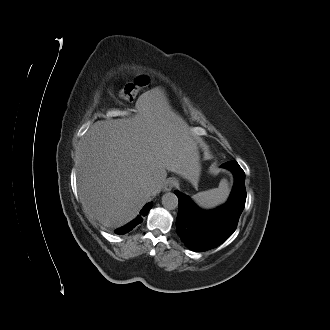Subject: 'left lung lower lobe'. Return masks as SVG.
I'll use <instances>...</instances> for the list:
<instances>
[{
  "label": "left lung lower lobe",
  "mask_w": 330,
  "mask_h": 330,
  "mask_svg": "<svg viewBox=\"0 0 330 330\" xmlns=\"http://www.w3.org/2000/svg\"><path fill=\"white\" fill-rule=\"evenodd\" d=\"M232 171L235 183L226 204L212 211H203L186 195L175 191L179 198L176 220L177 233L193 251H206L226 241L235 231L246 200L245 174L236 161L222 165Z\"/></svg>",
  "instance_id": "1"
}]
</instances>
